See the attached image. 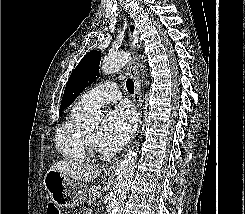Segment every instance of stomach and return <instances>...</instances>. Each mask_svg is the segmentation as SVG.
Segmentation results:
<instances>
[{"label": "stomach", "mask_w": 245, "mask_h": 214, "mask_svg": "<svg viewBox=\"0 0 245 214\" xmlns=\"http://www.w3.org/2000/svg\"><path fill=\"white\" fill-rule=\"evenodd\" d=\"M44 186L51 201L58 208H74L86 201L87 187L56 170H49L44 178Z\"/></svg>", "instance_id": "0dacf381"}]
</instances>
